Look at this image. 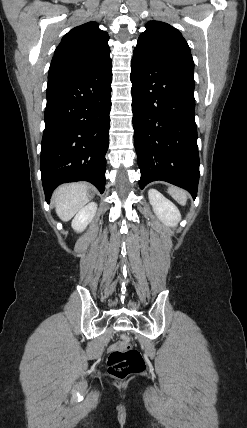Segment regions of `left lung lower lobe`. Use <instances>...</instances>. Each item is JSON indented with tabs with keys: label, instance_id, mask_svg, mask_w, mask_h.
I'll use <instances>...</instances> for the list:
<instances>
[{
	"label": "left lung lower lobe",
	"instance_id": "0a47b994",
	"mask_svg": "<svg viewBox=\"0 0 247 428\" xmlns=\"http://www.w3.org/2000/svg\"><path fill=\"white\" fill-rule=\"evenodd\" d=\"M134 144L140 188L163 180L197 196L199 154L194 76L134 52L131 62Z\"/></svg>",
	"mask_w": 247,
	"mask_h": 428
}]
</instances>
